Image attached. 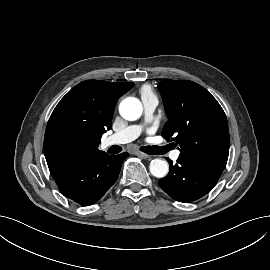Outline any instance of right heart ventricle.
<instances>
[{
  "mask_svg": "<svg viewBox=\"0 0 270 270\" xmlns=\"http://www.w3.org/2000/svg\"><path fill=\"white\" fill-rule=\"evenodd\" d=\"M140 95L141 97H144V96H152L154 95L152 89L150 86L148 85H144L140 88Z\"/></svg>",
  "mask_w": 270,
  "mask_h": 270,
  "instance_id": "right-heart-ventricle-1",
  "label": "right heart ventricle"
}]
</instances>
